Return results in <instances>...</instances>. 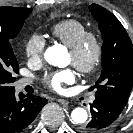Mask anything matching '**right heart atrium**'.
<instances>
[{
  "mask_svg": "<svg viewBox=\"0 0 133 133\" xmlns=\"http://www.w3.org/2000/svg\"><path fill=\"white\" fill-rule=\"evenodd\" d=\"M46 41L40 34H31L25 41L24 53L31 62L40 63L43 59Z\"/></svg>",
  "mask_w": 133,
  "mask_h": 133,
  "instance_id": "1",
  "label": "right heart atrium"
}]
</instances>
